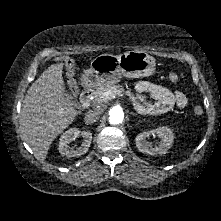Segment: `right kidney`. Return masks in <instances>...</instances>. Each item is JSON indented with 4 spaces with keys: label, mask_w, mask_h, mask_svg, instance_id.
<instances>
[{
    "label": "right kidney",
    "mask_w": 221,
    "mask_h": 221,
    "mask_svg": "<svg viewBox=\"0 0 221 221\" xmlns=\"http://www.w3.org/2000/svg\"><path fill=\"white\" fill-rule=\"evenodd\" d=\"M79 135H81L84 138V140L82 146L74 150L73 148H70L69 144L70 142L75 140ZM91 141H92V133L87 131L81 132L76 128H71L67 130L65 133H63V135L61 136L59 141V152L61 155L66 157L81 156L88 151Z\"/></svg>",
    "instance_id": "obj_1"
}]
</instances>
